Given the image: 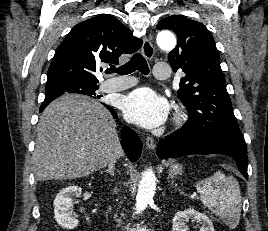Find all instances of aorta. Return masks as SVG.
I'll return each instance as SVG.
<instances>
[{"label": "aorta", "instance_id": "aorta-1", "mask_svg": "<svg viewBox=\"0 0 268 231\" xmlns=\"http://www.w3.org/2000/svg\"><path fill=\"white\" fill-rule=\"evenodd\" d=\"M157 43L164 50H171L176 45V38L170 32H160L157 36ZM156 176L152 169H147L143 174L139 183L136 196L135 213L142 212L153 200L156 190Z\"/></svg>", "mask_w": 268, "mask_h": 231}]
</instances>
